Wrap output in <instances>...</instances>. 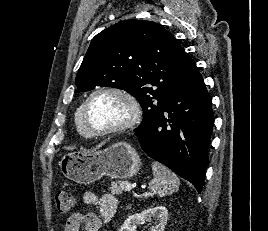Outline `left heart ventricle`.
Segmentation results:
<instances>
[{"instance_id":"1","label":"left heart ventricle","mask_w":268,"mask_h":231,"mask_svg":"<svg viewBox=\"0 0 268 231\" xmlns=\"http://www.w3.org/2000/svg\"><path fill=\"white\" fill-rule=\"evenodd\" d=\"M128 116V106L119 97L100 94L88 106L87 117L90 127L103 130L123 123Z\"/></svg>"}]
</instances>
